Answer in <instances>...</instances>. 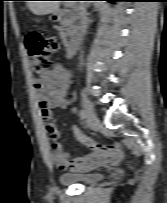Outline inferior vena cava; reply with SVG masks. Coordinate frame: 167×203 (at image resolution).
Masks as SVG:
<instances>
[{"label":"inferior vena cava","mask_w":167,"mask_h":203,"mask_svg":"<svg viewBox=\"0 0 167 203\" xmlns=\"http://www.w3.org/2000/svg\"><path fill=\"white\" fill-rule=\"evenodd\" d=\"M80 18H81V33L82 35L86 34L87 31V23H88V19H87V13L84 9L81 10L80 12Z\"/></svg>","instance_id":"602c4592"}]
</instances>
